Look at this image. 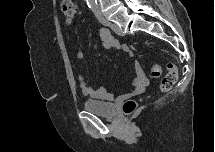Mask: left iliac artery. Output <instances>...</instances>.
Listing matches in <instances>:
<instances>
[{
	"mask_svg": "<svg viewBox=\"0 0 215 152\" xmlns=\"http://www.w3.org/2000/svg\"><path fill=\"white\" fill-rule=\"evenodd\" d=\"M93 12L100 23H102L105 26L109 25V21L102 16V13L99 9H97V8L93 9Z\"/></svg>",
	"mask_w": 215,
	"mask_h": 152,
	"instance_id": "left-iliac-artery-1",
	"label": "left iliac artery"
}]
</instances>
